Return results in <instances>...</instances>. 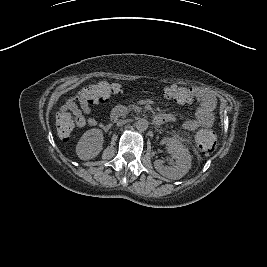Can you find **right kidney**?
Instances as JSON below:
<instances>
[{"instance_id":"1","label":"right kidney","mask_w":267,"mask_h":267,"mask_svg":"<svg viewBox=\"0 0 267 267\" xmlns=\"http://www.w3.org/2000/svg\"><path fill=\"white\" fill-rule=\"evenodd\" d=\"M104 137L101 129L86 131L76 145V154L81 160L95 158L103 149Z\"/></svg>"}]
</instances>
